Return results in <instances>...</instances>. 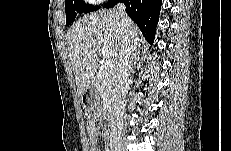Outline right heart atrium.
I'll list each match as a JSON object with an SVG mask.
<instances>
[{"label":"right heart atrium","mask_w":231,"mask_h":151,"mask_svg":"<svg viewBox=\"0 0 231 151\" xmlns=\"http://www.w3.org/2000/svg\"><path fill=\"white\" fill-rule=\"evenodd\" d=\"M93 3L100 2V1H92Z\"/></svg>","instance_id":"obj_1"}]
</instances>
